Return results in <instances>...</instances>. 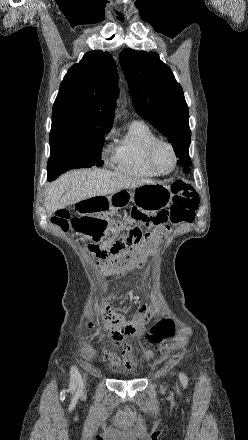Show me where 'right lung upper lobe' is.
Segmentation results:
<instances>
[{
	"label": "right lung upper lobe",
	"instance_id": "1",
	"mask_svg": "<svg viewBox=\"0 0 248 440\" xmlns=\"http://www.w3.org/2000/svg\"><path fill=\"white\" fill-rule=\"evenodd\" d=\"M116 63L108 52H87L70 67L53 105L50 146L111 130L118 96Z\"/></svg>",
	"mask_w": 248,
	"mask_h": 440
}]
</instances>
